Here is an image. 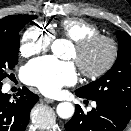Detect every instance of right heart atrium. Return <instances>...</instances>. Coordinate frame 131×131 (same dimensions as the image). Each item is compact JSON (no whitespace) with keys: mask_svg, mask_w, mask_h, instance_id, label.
<instances>
[{"mask_svg":"<svg viewBox=\"0 0 131 131\" xmlns=\"http://www.w3.org/2000/svg\"><path fill=\"white\" fill-rule=\"evenodd\" d=\"M54 35L51 30L41 25L28 27L22 35L20 53L32 56L49 49Z\"/></svg>","mask_w":131,"mask_h":131,"instance_id":"1","label":"right heart atrium"}]
</instances>
